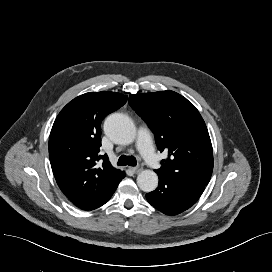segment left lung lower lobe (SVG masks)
<instances>
[{
    "label": "left lung lower lobe",
    "mask_w": 272,
    "mask_h": 272,
    "mask_svg": "<svg viewBox=\"0 0 272 272\" xmlns=\"http://www.w3.org/2000/svg\"><path fill=\"white\" fill-rule=\"evenodd\" d=\"M156 190L146 194L147 201L167 215H177L196 203L205 186L171 175H158Z\"/></svg>",
    "instance_id": "left-lung-lower-lobe-1"
}]
</instances>
